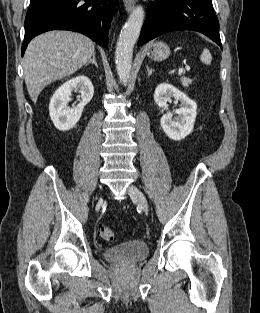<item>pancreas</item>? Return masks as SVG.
Masks as SVG:
<instances>
[{
  "label": "pancreas",
  "instance_id": "obj_1",
  "mask_svg": "<svg viewBox=\"0 0 260 313\" xmlns=\"http://www.w3.org/2000/svg\"><path fill=\"white\" fill-rule=\"evenodd\" d=\"M180 82L184 87H189V84L191 83V80L188 79L187 77H181Z\"/></svg>",
  "mask_w": 260,
  "mask_h": 313
}]
</instances>
